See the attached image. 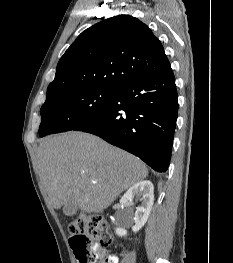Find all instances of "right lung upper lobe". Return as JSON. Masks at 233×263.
Returning a JSON list of instances; mask_svg holds the SVG:
<instances>
[{
    "instance_id": "1",
    "label": "right lung upper lobe",
    "mask_w": 233,
    "mask_h": 263,
    "mask_svg": "<svg viewBox=\"0 0 233 263\" xmlns=\"http://www.w3.org/2000/svg\"><path fill=\"white\" fill-rule=\"evenodd\" d=\"M169 68L163 46L148 26L118 15L77 37L61 57L47 97L88 87L118 89Z\"/></svg>"
}]
</instances>
